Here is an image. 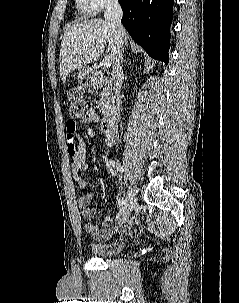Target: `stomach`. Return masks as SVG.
<instances>
[{
  "label": "stomach",
  "instance_id": "0dacf381",
  "mask_svg": "<svg viewBox=\"0 0 239 303\" xmlns=\"http://www.w3.org/2000/svg\"><path fill=\"white\" fill-rule=\"evenodd\" d=\"M77 79L80 85L84 87H90L94 83L92 72L89 67L83 66L78 69Z\"/></svg>",
  "mask_w": 239,
  "mask_h": 303
}]
</instances>
